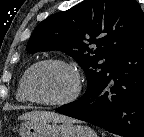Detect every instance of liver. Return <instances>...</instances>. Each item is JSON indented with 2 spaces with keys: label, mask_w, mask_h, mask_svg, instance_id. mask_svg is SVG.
I'll use <instances>...</instances> for the list:
<instances>
[{
  "label": "liver",
  "mask_w": 144,
  "mask_h": 137,
  "mask_svg": "<svg viewBox=\"0 0 144 137\" xmlns=\"http://www.w3.org/2000/svg\"><path fill=\"white\" fill-rule=\"evenodd\" d=\"M18 119L27 122H74L73 119L65 115H61L50 111H31L23 115H20Z\"/></svg>",
  "instance_id": "liver-1"
}]
</instances>
